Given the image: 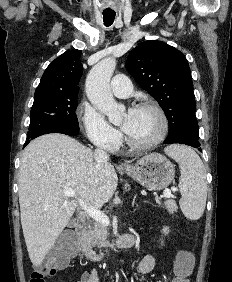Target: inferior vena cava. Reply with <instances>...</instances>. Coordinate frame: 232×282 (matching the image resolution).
Returning a JSON list of instances; mask_svg holds the SVG:
<instances>
[{
  "label": "inferior vena cava",
  "instance_id": "1",
  "mask_svg": "<svg viewBox=\"0 0 232 282\" xmlns=\"http://www.w3.org/2000/svg\"><path fill=\"white\" fill-rule=\"evenodd\" d=\"M94 158H95L97 161L103 162V161H108L109 156H108V154H107V152L105 151V149H104L103 146H98V147L95 149Z\"/></svg>",
  "mask_w": 232,
  "mask_h": 282
}]
</instances>
